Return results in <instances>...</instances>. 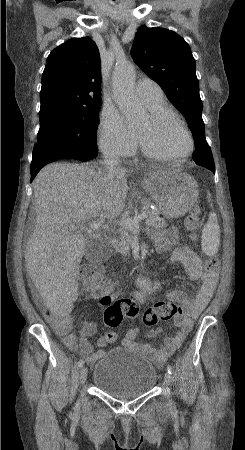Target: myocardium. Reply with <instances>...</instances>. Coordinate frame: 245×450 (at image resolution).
<instances>
[{"instance_id": "obj_1", "label": "myocardium", "mask_w": 245, "mask_h": 450, "mask_svg": "<svg viewBox=\"0 0 245 450\" xmlns=\"http://www.w3.org/2000/svg\"><path fill=\"white\" fill-rule=\"evenodd\" d=\"M150 117H151L152 121L155 123H160L164 119H171L174 122H176L182 128V130L185 132V134L189 140V149L181 155H176V156L162 155L156 151L151 150L147 146V144L145 143V141L143 140L141 135L138 133L139 144L141 146L142 153L145 157H147L151 160H155V161H175V160L186 159L194 153L195 140L191 134V131L189 130V128L187 127L185 122L174 111H172L170 109H154V110H151Z\"/></svg>"}]
</instances>
